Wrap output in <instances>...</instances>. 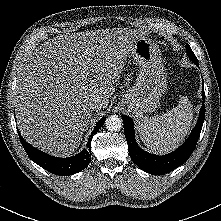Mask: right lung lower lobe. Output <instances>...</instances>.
<instances>
[{"mask_svg": "<svg viewBox=\"0 0 221 221\" xmlns=\"http://www.w3.org/2000/svg\"><path fill=\"white\" fill-rule=\"evenodd\" d=\"M105 120L106 117H103L96 124V127L88 139L87 148L83 149L77 155L68 158H58L48 155L27 143L20 135L19 130L18 134L26 153L31 160L53 174L66 176L77 173L88 166L91 155V140L94 134L101 128V126H103Z\"/></svg>", "mask_w": 221, "mask_h": 221, "instance_id": "1", "label": "right lung lower lobe"}]
</instances>
